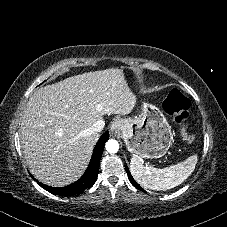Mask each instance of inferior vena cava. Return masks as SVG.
Here are the masks:
<instances>
[{
    "instance_id": "obj_1",
    "label": "inferior vena cava",
    "mask_w": 227,
    "mask_h": 227,
    "mask_svg": "<svg viewBox=\"0 0 227 227\" xmlns=\"http://www.w3.org/2000/svg\"><path fill=\"white\" fill-rule=\"evenodd\" d=\"M104 126H105L104 120L99 119L93 124L92 128L95 132H101L103 130Z\"/></svg>"
}]
</instances>
